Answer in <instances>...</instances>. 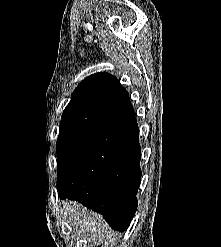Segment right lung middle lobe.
Returning a JSON list of instances; mask_svg holds the SVG:
<instances>
[{"instance_id":"dd1d6c3e","label":"right lung middle lobe","mask_w":221,"mask_h":247,"mask_svg":"<svg viewBox=\"0 0 221 247\" xmlns=\"http://www.w3.org/2000/svg\"><path fill=\"white\" fill-rule=\"evenodd\" d=\"M83 130L85 129L78 127L59 129V136L57 139V146H56V152L58 158L61 156L65 147Z\"/></svg>"}]
</instances>
